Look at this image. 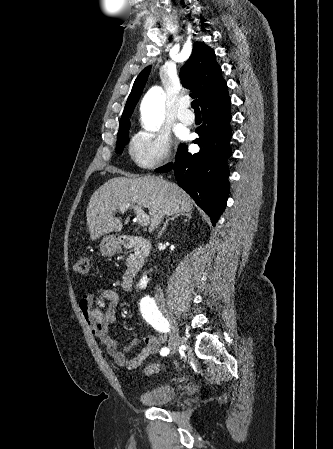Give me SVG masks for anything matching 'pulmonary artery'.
I'll return each mask as SVG.
<instances>
[{"label": "pulmonary artery", "instance_id": "e3ab8cb5", "mask_svg": "<svg viewBox=\"0 0 333 449\" xmlns=\"http://www.w3.org/2000/svg\"><path fill=\"white\" fill-rule=\"evenodd\" d=\"M188 104L184 101L179 102L177 109V118L185 125H191L194 122V115L187 108Z\"/></svg>", "mask_w": 333, "mask_h": 449}]
</instances>
